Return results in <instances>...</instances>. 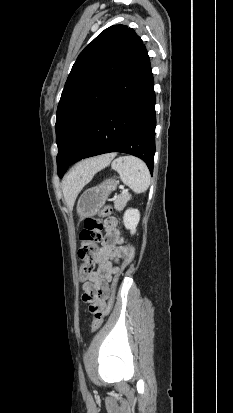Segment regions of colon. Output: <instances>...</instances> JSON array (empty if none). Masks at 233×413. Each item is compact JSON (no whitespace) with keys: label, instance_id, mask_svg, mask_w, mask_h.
Listing matches in <instances>:
<instances>
[{"label":"colon","instance_id":"colon-1","mask_svg":"<svg viewBox=\"0 0 233 413\" xmlns=\"http://www.w3.org/2000/svg\"><path fill=\"white\" fill-rule=\"evenodd\" d=\"M110 207L106 206L97 216L85 219L83 229L79 234L81 246L78 249V256L83 261L80 266V276L82 279H89L94 273L95 260L98 251V243L102 239V230L104 229L103 217L110 213ZM134 258V249L127 247L126 254L121 265L120 271L125 269ZM116 283L113 287L112 295L106 300L104 305L93 308L90 304V310L94 312V318L91 325V332H96L109 315L115 301Z\"/></svg>","mask_w":233,"mask_h":413}]
</instances>
